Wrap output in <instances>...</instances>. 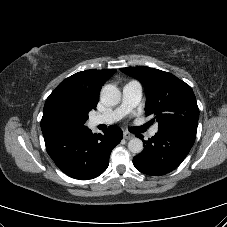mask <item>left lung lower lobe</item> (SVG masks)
<instances>
[{
	"instance_id": "0a47b994",
	"label": "left lung lower lobe",
	"mask_w": 227,
	"mask_h": 227,
	"mask_svg": "<svg viewBox=\"0 0 227 227\" xmlns=\"http://www.w3.org/2000/svg\"><path fill=\"white\" fill-rule=\"evenodd\" d=\"M142 139V136L138 135ZM196 136L184 131L161 129L133 158L137 170L147 175H164L176 169L189 153Z\"/></svg>"
}]
</instances>
